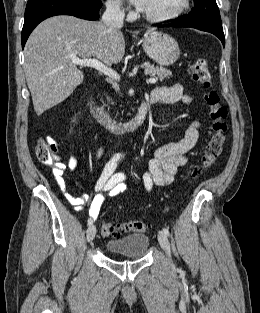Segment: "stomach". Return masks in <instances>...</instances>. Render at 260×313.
<instances>
[{"instance_id":"0dacf381","label":"stomach","mask_w":260,"mask_h":313,"mask_svg":"<svg viewBox=\"0 0 260 313\" xmlns=\"http://www.w3.org/2000/svg\"><path fill=\"white\" fill-rule=\"evenodd\" d=\"M143 49L151 59L161 66L172 65L180 56L176 40L162 32L146 36L143 39Z\"/></svg>"}]
</instances>
